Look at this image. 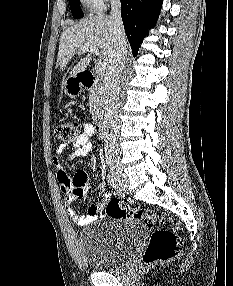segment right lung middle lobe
<instances>
[{
    "label": "right lung middle lobe",
    "mask_w": 233,
    "mask_h": 286,
    "mask_svg": "<svg viewBox=\"0 0 233 286\" xmlns=\"http://www.w3.org/2000/svg\"><path fill=\"white\" fill-rule=\"evenodd\" d=\"M70 9L74 18H82L84 16L79 0H69Z\"/></svg>",
    "instance_id": "1"
}]
</instances>
